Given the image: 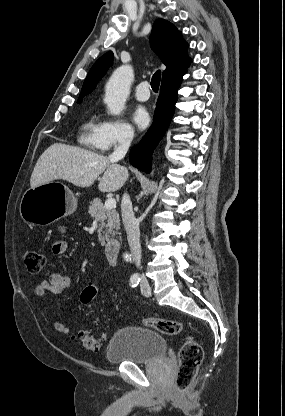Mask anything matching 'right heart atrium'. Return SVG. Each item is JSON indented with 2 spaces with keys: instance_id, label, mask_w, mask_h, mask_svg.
Returning <instances> with one entry per match:
<instances>
[{
  "instance_id": "obj_1",
  "label": "right heart atrium",
  "mask_w": 285,
  "mask_h": 416,
  "mask_svg": "<svg viewBox=\"0 0 285 416\" xmlns=\"http://www.w3.org/2000/svg\"><path fill=\"white\" fill-rule=\"evenodd\" d=\"M130 137L131 129L126 123L107 115H102L98 120L92 146L101 152H106L127 143Z\"/></svg>"
}]
</instances>
